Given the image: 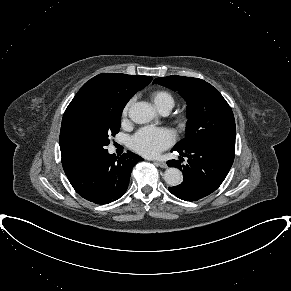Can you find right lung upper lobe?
<instances>
[{
	"instance_id": "right-lung-upper-lobe-1",
	"label": "right lung upper lobe",
	"mask_w": 291,
	"mask_h": 291,
	"mask_svg": "<svg viewBox=\"0 0 291 291\" xmlns=\"http://www.w3.org/2000/svg\"><path fill=\"white\" fill-rule=\"evenodd\" d=\"M152 81L150 76H131L119 73H104L87 81L77 92L66 112L78 103L94 98L100 94H110L120 99L125 105L129 99L139 90L143 89ZM62 164L66 175L71 174L79 166H71L62 157Z\"/></svg>"
}]
</instances>
